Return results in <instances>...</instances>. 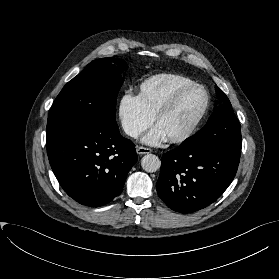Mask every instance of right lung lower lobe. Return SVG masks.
<instances>
[{
    "mask_svg": "<svg viewBox=\"0 0 279 279\" xmlns=\"http://www.w3.org/2000/svg\"><path fill=\"white\" fill-rule=\"evenodd\" d=\"M51 168L63 190L78 203L100 207L124 187L137 162L135 145L117 123H87L47 140Z\"/></svg>",
    "mask_w": 279,
    "mask_h": 279,
    "instance_id": "1",
    "label": "right lung lower lobe"
}]
</instances>
